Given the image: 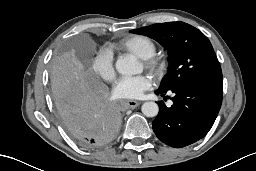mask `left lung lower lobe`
I'll return each instance as SVG.
<instances>
[{
	"mask_svg": "<svg viewBox=\"0 0 256 171\" xmlns=\"http://www.w3.org/2000/svg\"><path fill=\"white\" fill-rule=\"evenodd\" d=\"M171 91L173 105L158 103L152 127L163 143L181 148L203 138L213 126L222 103V85L188 82ZM155 93L164 96L166 92Z\"/></svg>",
	"mask_w": 256,
	"mask_h": 171,
	"instance_id": "left-lung-lower-lobe-1",
	"label": "left lung lower lobe"
}]
</instances>
